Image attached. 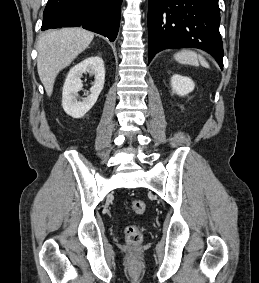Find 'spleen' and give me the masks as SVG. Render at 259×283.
<instances>
[{
	"label": "spleen",
	"mask_w": 259,
	"mask_h": 283,
	"mask_svg": "<svg viewBox=\"0 0 259 283\" xmlns=\"http://www.w3.org/2000/svg\"><path fill=\"white\" fill-rule=\"evenodd\" d=\"M174 59L181 64L193 66H199L200 64L205 68H209V64L205 58L194 51L182 50L174 55Z\"/></svg>",
	"instance_id": "1"
}]
</instances>
